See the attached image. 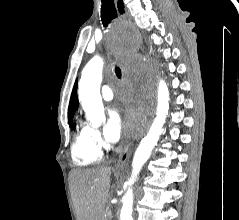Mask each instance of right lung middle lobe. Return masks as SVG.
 <instances>
[{"mask_svg": "<svg viewBox=\"0 0 239 220\" xmlns=\"http://www.w3.org/2000/svg\"><path fill=\"white\" fill-rule=\"evenodd\" d=\"M71 123H72V119H71V120H69V125H71Z\"/></svg>", "mask_w": 239, "mask_h": 220, "instance_id": "obj_1", "label": "right lung middle lobe"}]
</instances>
